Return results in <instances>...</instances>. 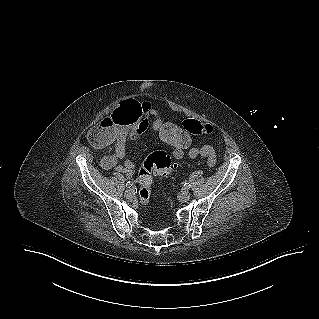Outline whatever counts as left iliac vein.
<instances>
[{
  "mask_svg": "<svg viewBox=\"0 0 319 319\" xmlns=\"http://www.w3.org/2000/svg\"><path fill=\"white\" fill-rule=\"evenodd\" d=\"M178 199L179 201L181 202H187L190 200V194L187 190H184L183 192H181L179 195H178Z\"/></svg>",
  "mask_w": 319,
  "mask_h": 319,
  "instance_id": "4c4485c4",
  "label": "left iliac vein"
}]
</instances>
